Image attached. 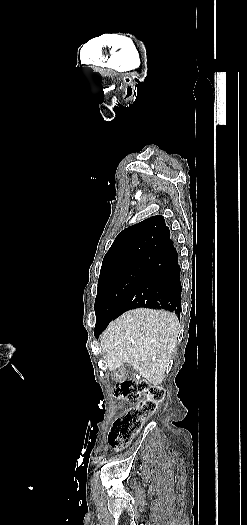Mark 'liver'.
<instances>
[{
    "label": "liver",
    "instance_id": "liver-1",
    "mask_svg": "<svg viewBox=\"0 0 247 525\" xmlns=\"http://www.w3.org/2000/svg\"><path fill=\"white\" fill-rule=\"evenodd\" d=\"M179 331L178 317L169 311H126L100 337L108 371L130 363L148 383L161 385L172 367Z\"/></svg>",
    "mask_w": 247,
    "mask_h": 525
}]
</instances>
